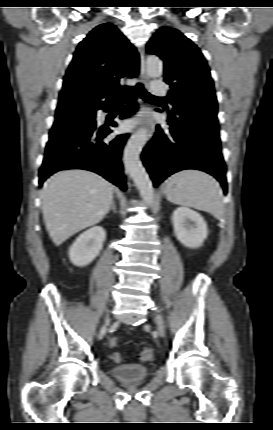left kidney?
Segmentation results:
<instances>
[{
	"label": "left kidney",
	"mask_w": 273,
	"mask_h": 430,
	"mask_svg": "<svg viewBox=\"0 0 273 430\" xmlns=\"http://www.w3.org/2000/svg\"><path fill=\"white\" fill-rule=\"evenodd\" d=\"M172 222L176 238L188 248H199L207 238V223L199 212L179 207L173 213Z\"/></svg>",
	"instance_id": "5707ae66"
}]
</instances>
